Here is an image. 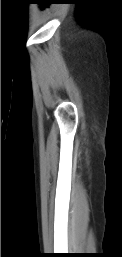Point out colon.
I'll use <instances>...</instances> for the list:
<instances>
[{
  "instance_id": "5ec220e1",
  "label": "colon",
  "mask_w": 122,
  "mask_h": 257,
  "mask_svg": "<svg viewBox=\"0 0 122 257\" xmlns=\"http://www.w3.org/2000/svg\"><path fill=\"white\" fill-rule=\"evenodd\" d=\"M39 10H48V5H39Z\"/></svg>"
}]
</instances>
